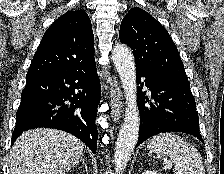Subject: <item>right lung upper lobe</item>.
Here are the masks:
<instances>
[{"label":"right lung upper lobe","mask_w":224,"mask_h":174,"mask_svg":"<svg viewBox=\"0 0 224 174\" xmlns=\"http://www.w3.org/2000/svg\"><path fill=\"white\" fill-rule=\"evenodd\" d=\"M94 36L83 10L68 11L45 32L26 79L77 69L93 63Z\"/></svg>","instance_id":"cb5924a9"}]
</instances>
